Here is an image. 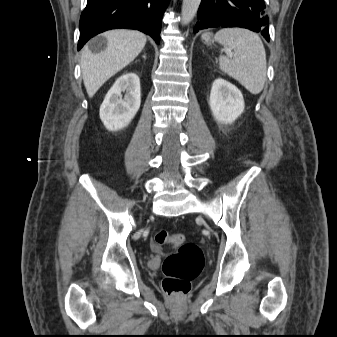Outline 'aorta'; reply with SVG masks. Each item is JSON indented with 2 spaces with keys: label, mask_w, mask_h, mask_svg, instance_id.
<instances>
[{
  "label": "aorta",
  "mask_w": 337,
  "mask_h": 337,
  "mask_svg": "<svg viewBox=\"0 0 337 337\" xmlns=\"http://www.w3.org/2000/svg\"><path fill=\"white\" fill-rule=\"evenodd\" d=\"M201 0H183L181 10V20L183 25H187L195 17Z\"/></svg>",
  "instance_id": "1"
}]
</instances>
